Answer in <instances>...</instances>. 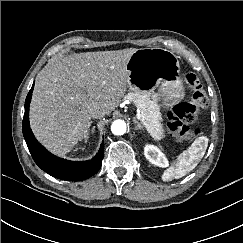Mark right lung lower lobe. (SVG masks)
I'll use <instances>...</instances> for the list:
<instances>
[{"mask_svg":"<svg viewBox=\"0 0 243 243\" xmlns=\"http://www.w3.org/2000/svg\"><path fill=\"white\" fill-rule=\"evenodd\" d=\"M34 84L27 95L25 101V114L23 118V136L28 149L35 163L48 174L69 181L85 180L98 172L102 165L104 156V143H102L99 153L92 160L84 162H73L56 157L48 152L35 139L29 124V104L32 97Z\"/></svg>","mask_w":243,"mask_h":243,"instance_id":"98d812e1","label":"right lung lower lobe"}]
</instances>
